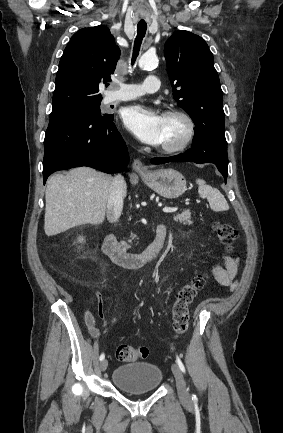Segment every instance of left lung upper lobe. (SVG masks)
Segmentation results:
<instances>
[{
    "label": "left lung upper lobe",
    "mask_w": 283,
    "mask_h": 433,
    "mask_svg": "<svg viewBox=\"0 0 283 433\" xmlns=\"http://www.w3.org/2000/svg\"><path fill=\"white\" fill-rule=\"evenodd\" d=\"M164 55L173 97L196 129H224L223 93L207 43L191 32L175 31L164 45Z\"/></svg>",
    "instance_id": "5c2ea615"
}]
</instances>
